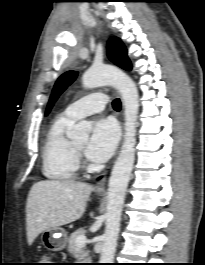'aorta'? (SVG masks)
<instances>
[{"mask_svg":"<svg viewBox=\"0 0 205 265\" xmlns=\"http://www.w3.org/2000/svg\"><path fill=\"white\" fill-rule=\"evenodd\" d=\"M85 88L114 86L122 96L125 115L124 140L108 184L105 232L99 263H113L126 190L135 160L136 124L139 94L133 80L120 69L103 65L89 68L82 77ZM91 125L80 121L70 133L74 139H87Z\"/></svg>","mask_w":205,"mask_h":265,"instance_id":"762f6f07","label":"aorta"}]
</instances>
